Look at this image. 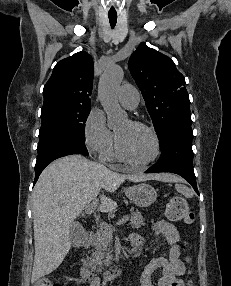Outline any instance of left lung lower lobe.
<instances>
[{"mask_svg": "<svg viewBox=\"0 0 231 286\" xmlns=\"http://www.w3.org/2000/svg\"><path fill=\"white\" fill-rule=\"evenodd\" d=\"M158 138L162 154L145 173H176L187 180L199 194L193 170L191 125L171 126Z\"/></svg>", "mask_w": 231, "mask_h": 286, "instance_id": "obj_1", "label": "left lung lower lobe"}]
</instances>
